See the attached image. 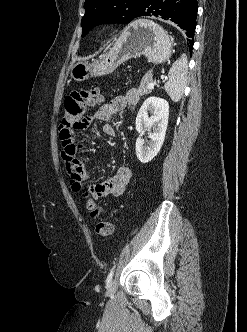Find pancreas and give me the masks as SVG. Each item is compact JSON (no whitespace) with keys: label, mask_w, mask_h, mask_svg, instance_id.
<instances>
[{"label":"pancreas","mask_w":247,"mask_h":332,"mask_svg":"<svg viewBox=\"0 0 247 332\" xmlns=\"http://www.w3.org/2000/svg\"><path fill=\"white\" fill-rule=\"evenodd\" d=\"M152 81V74L149 72L145 74L140 82V86L137 90V95L143 96L149 94L151 91L148 89L149 83Z\"/></svg>","instance_id":"pancreas-1"}]
</instances>
